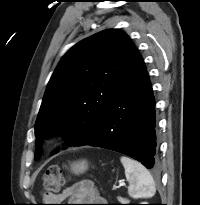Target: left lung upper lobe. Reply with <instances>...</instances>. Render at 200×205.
Instances as JSON below:
<instances>
[{
  "label": "left lung upper lobe",
  "instance_id": "5c2ea615",
  "mask_svg": "<svg viewBox=\"0 0 200 205\" xmlns=\"http://www.w3.org/2000/svg\"><path fill=\"white\" fill-rule=\"evenodd\" d=\"M135 49L120 30L96 33L73 46L61 59L46 88L35 123L36 144L56 133L80 146L105 116ZM39 148H37V153Z\"/></svg>",
  "mask_w": 200,
  "mask_h": 205
}]
</instances>
